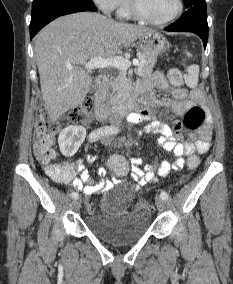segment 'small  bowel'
<instances>
[{
    "label": "small bowel",
    "mask_w": 233,
    "mask_h": 284,
    "mask_svg": "<svg viewBox=\"0 0 233 284\" xmlns=\"http://www.w3.org/2000/svg\"><path fill=\"white\" fill-rule=\"evenodd\" d=\"M167 87L166 78L160 71L146 78L140 85V90L144 91L145 95L141 103L128 117L129 122L132 124L139 122L149 123L148 130L161 135L159 139L161 147L175 155V160H166L161 163L159 167V174L161 176L168 174L171 170L182 169L185 164V157L196 153H206L209 150L212 135L210 119L198 128L196 133L190 134L188 141L182 140V124L177 119H173L172 126L152 120L153 109L168 108L173 114L180 116L191 107L201 105L205 101L203 93L198 89L176 88L172 91V97H156L152 93L154 88L165 90ZM95 159L96 157L94 156H88L89 162H94ZM142 162V159L133 158L129 163L128 175H130L138 186H144L156 180L154 173L156 163H148L142 169ZM45 172L53 181L62 184H71L76 189L88 195L94 192L106 191L114 183L118 182L117 178H113L112 180H102L94 183L89 172L81 162L73 163L65 161L49 164L45 167ZM98 173L104 176L106 170L100 168Z\"/></svg>",
    "instance_id": "c3829d8e"
}]
</instances>
